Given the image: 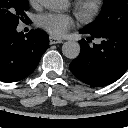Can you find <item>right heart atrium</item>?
Listing matches in <instances>:
<instances>
[{
    "label": "right heart atrium",
    "instance_id": "right-heart-atrium-1",
    "mask_svg": "<svg viewBox=\"0 0 128 128\" xmlns=\"http://www.w3.org/2000/svg\"><path fill=\"white\" fill-rule=\"evenodd\" d=\"M30 4L35 5L38 3L39 0H28Z\"/></svg>",
    "mask_w": 128,
    "mask_h": 128
}]
</instances>
